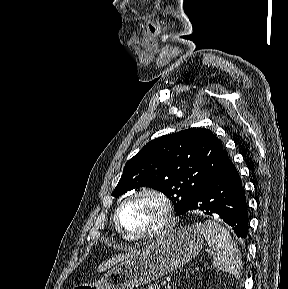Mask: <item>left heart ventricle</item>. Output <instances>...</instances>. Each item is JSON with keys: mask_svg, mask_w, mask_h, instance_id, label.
Wrapping results in <instances>:
<instances>
[{"mask_svg": "<svg viewBox=\"0 0 288 289\" xmlns=\"http://www.w3.org/2000/svg\"><path fill=\"white\" fill-rule=\"evenodd\" d=\"M164 218L161 202L152 196L143 195L135 198L121 213V222L126 230L143 233L156 229Z\"/></svg>", "mask_w": 288, "mask_h": 289, "instance_id": "left-heart-ventricle-1", "label": "left heart ventricle"}]
</instances>
